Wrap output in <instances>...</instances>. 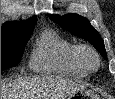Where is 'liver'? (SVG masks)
I'll return each mask as SVG.
<instances>
[{
    "label": "liver",
    "mask_w": 115,
    "mask_h": 99,
    "mask_svg": "<svg viewBox=\"0 0 115 99\" xmlns=\"http://www.w3.org/2000/svg\"><path fill=\"white\" fill-rule=\"evenodd\" d=\"M83 88L81 84L61 78H17L1 81V99H64Z\"/></svg>",
    "instance_id": "1"
}]
</instances>
